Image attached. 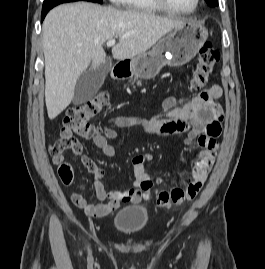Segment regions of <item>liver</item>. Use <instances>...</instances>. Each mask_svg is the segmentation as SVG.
<instances>
[{
    "instance_id": "6515ba94",
    "label": "liver",
    "mask_w": 265,
    "mask_h": 269,
    "mask_svg": "<svg viewBox=\"0 0 265 269\" xmlns=\"http://www.w3.org/2000/svg\"><path fill=\"white\" fill-rule=\"evenodd\" d=\"M185 21L137 10L77 2L53 8L42 26L45 57V102L49 119L56 118L71 103L78 78L91 65L106 62L103 45L114 38V59L144 54Z\"/></svg>"
}]
</instances>
